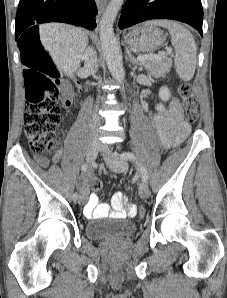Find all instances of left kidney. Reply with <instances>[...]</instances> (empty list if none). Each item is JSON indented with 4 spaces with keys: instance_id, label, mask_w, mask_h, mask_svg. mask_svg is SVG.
Returning a JSON list of instances; mask_svg holds the SVG:
<instances>
[{
    "instance_id": "obj_1",
    "label": "left kidney",
    "mask_w": 227,
    "mask_h": 298,
    "mask_svg": "<svg viewBox=\"0 0 227 298\" xmlns=\"http://www.w3.org/2000/svg\"><path fill=\"white\" fill-rule=\"evenodd\" d=\"M159 97L162 101H167L169 98H170V90L167 88V86H162L160 88V91H159ZM156 110L158 111H163L164 110V106L163 104L159 103L157 106H156Z\"/></svg>"
}]
</instances>
